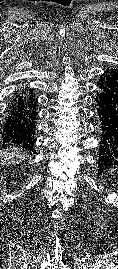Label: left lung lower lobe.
Listing matches in <instances>:
<instances>
[{
	"label": "left lung lower lobe",
	"mask_w": 118,
	"mask_h": 269,
	"mask_svg": "<svg viewBox=\"0 0 118 269\" xmlns=\"http://www.w3.org/2000/svg\"><path fill=\"white\" fill-rule=\"evenodd\" d=\"M101 88L99 108L97 109L101 122L99 167L118 165V91H113L98 82Z\"/></svg>",
	"instance_id": "1"
}]
</instances>
